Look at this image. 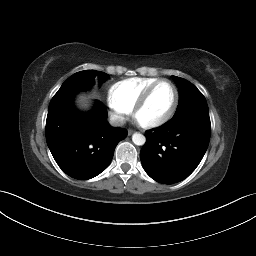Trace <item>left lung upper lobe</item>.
Listing matches in <instances>:
<instances>
[{
	"label": "left lung upper lobe",
	"mask_w": 256,
	"mask_h": 256,
	"mask_svg": "<svg viewBox=\"0 0 256 256\" xmlns=\"http://www.w3.org/2000/svg\"><path fill=\"white\" fill-rule=\"evenodd\" d=\"M179 90V104L173 118L186 112H200L209 115L207 102L203 94L189 81L172 76Z\"/></svg>",
	"instance_id": "5c2ea615"
}]
</instances>
